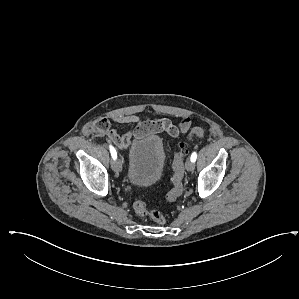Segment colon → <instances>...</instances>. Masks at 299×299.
<instances>
[{
  "mask_svg": "<svg viewBox=\"0 0 299 299\" xmlns=\"http://www.w3.org/2000/svg\"><path fill=\"white\" fill-rule=\"evenodd\" d=\"M96 127L98 130L105 132L109 125L106 121L101 120L97 122ZM204 137V130L200 127H195L189 131L186 139L187 141H192L194 139H203ZM185 155V145L183 143H179L173 151L172 186L166 196V199L170 202L175 201L183 192ZM133 209L138 215L149 216L158 224H164L166 222V218L161 212L157 210L148 211L145 202L142 200H136L133 204Z\"/></svg>",
  "mask_w": 299,
  "mask_h": 299,
  "instance_id": "colon-1",
  "label": "colon"
}]
</instances>
